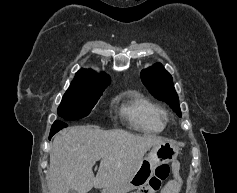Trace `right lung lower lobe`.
<instances>
[{"mask_svg":"<svg viewBox=\"0 0 237 193\" xmlns=\"http://www.w3.org/2000/svg\"><path fill=\"white\" fill-rule=\"evenodd\" d=\"M68 125L64 122L61 121H55L54 124L52 125L51 131H50V135H49V139H51V137L57 133L59 130H61L64 127H67Z\"/></svg>","mask_w":237,"mask_h":193,"instance_id":"obj_1","label":"right lung lower lobe"}]
</instances>
